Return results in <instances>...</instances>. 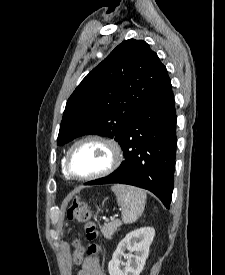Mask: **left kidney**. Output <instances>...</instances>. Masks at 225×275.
Here are the masks:
<instances>
[{
	"mask_svg": "<svg viewBox=\"0 0 225 275\" xmlns=\"http://www.w3.org/2000/svg\"><path fill=\"white\" fill-rule=\"evenodd\" d=\"M155 236V230L151 227H144L128 233L118 244L113 253L112 260L108 264L110 275H139L148 258L149 248ZM129 250L125 255L124 251ZM134 252L135 254H132ZM126 256L127 262L121 268V258Z\"/></svg>",
	"mask_w": 225,
	"mask_h": 275,
	"instance_id": "obj_1",
	"label": "left kidney"
}]
</instances>
